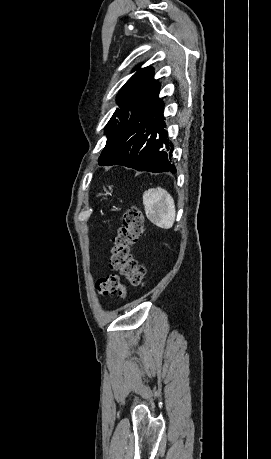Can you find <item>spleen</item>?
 Masks as SVG:
<instances>
[{
	"instance_id": "1",
	"label": "spleen",
	"mask_w": 271,
	"mask_h": 459,
	"mask_svg": "<svg viewBox=\"0 0 271 459\" xmlns=\"http://www.w3.org/2000/svg\"><path fill=\"white\" fill-rule=\"evenodd\" d=\"M145 214L158 228H172L175 222V204L172 196L162 188H151L143 194Z\"/></svg>"
}]
</instances>
